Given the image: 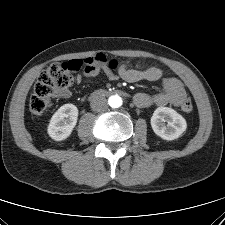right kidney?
<instances>
[{
  "instance_id": "1",
  "label": "right kidney",
  "mask_w": 225,
  "mask_h": 225,
  "mask_svg": "<svg viewBox=\"0 0 225 225\" xmlns=\"http://www.w3.org/2000/svg\"><path fill=\"white\" fill-rule=\"evenodd\" d=\"M78 119V108L73 104H64L52 116L48 125V134L55 141L68 138Z\"/></svg>"
}]
</instances>
